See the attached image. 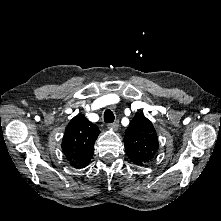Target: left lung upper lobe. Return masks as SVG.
I'll return each instance as SVG.
<instances>
[{
    "mask_svg": "<svg viewBox=\"0 0 221 221\" xmlns=\"http://www.w3.org/2000/svg\"><path fill=\"white\" fill-rule=\"evenodd\" d=\"M124 145L129 159L143 165L153 159L159 148L158 136L150 120L136 113L125 131Z\"/></svg>",
    "mask_w": 221,
    "mask_h": 221,
    "instance_id": "left-lung-upper-lobe-1",
    "label": "left lung upper lobe"
}]
</instances>
